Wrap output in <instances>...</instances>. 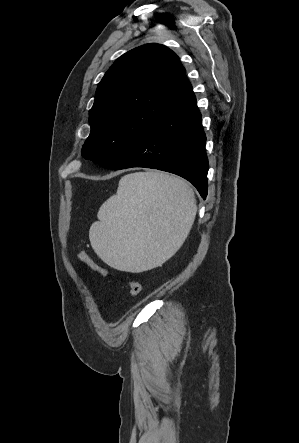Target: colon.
<instances>
[{"label":"colon","instance_id":"1","mask_svg":"<svg viewBox=\"0 0 299 443\" xmlns=\"http://www.w3.org/2000/svg\"><path fill=\"white\" fill-rule=\"evenodd\" d=\"M77 257L79 258L80 261H82L83 263H85L86 265H88L90 268H92L93 270L104 274V275H111V273L104 268L103 266H101L100 264H98L88 253H86L85 251H81L79 250L77 252ZM129 287H130V294L133 297H136L140 294L141 290H142V286L141 283L137 280L131 279L128 281Z\"/></svg>","mask_w":299,"mask_h":443}]
</instances>
